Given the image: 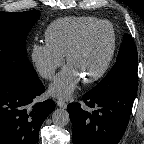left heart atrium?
<instances>
[{
	"mask_svg": "<svg viewBox=\"0 0 144 144\" xmlns=\"http://www.w3.org/2000/svg\"><path fill=\"white\" fill-rule=\"evenodd\" d=\"M81 76L79 73L70 65H68L55 79L50 87V93L58 98L66 99L77 88Z\"/></svg>",
	"mask_w": 144,
	"mask_h": 144,
	"instance_id": "left-heart-atrium-1",
	"label": "left heart atrium"
}]
</instances>
